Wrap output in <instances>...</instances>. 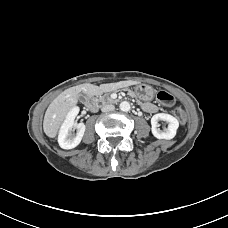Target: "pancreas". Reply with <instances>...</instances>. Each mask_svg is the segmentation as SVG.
Listing matches in <instances>:
<instances>
[{"label": "pancreas", "mask_w": 228, "mask_h": 228, "mask_svg": "<svg viewBox=\"0 0 228 228\" xmlns=\"http://www.w3.org/2000/svg\"><path fill=\"white\" fill-rule=\"evenodd\" d=\"M117 92H124V91H127L131 94V96L136 100V102L141 105L142 103L137 99L136 96H134V93L130 90V89H127V88H123V89H117L116 90ZM102 104H109V103H116V100H113L111 97H110V94L109 93H106L104 94L103 96H100L99 99H98Z\"/></svg>", "instance_id": "1"}]
</instances>
